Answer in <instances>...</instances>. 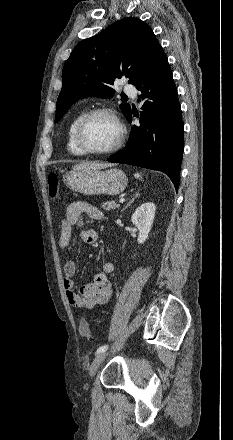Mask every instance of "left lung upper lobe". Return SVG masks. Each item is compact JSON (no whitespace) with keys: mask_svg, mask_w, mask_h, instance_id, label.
<instances>
[{"mask_svg":"<svg viewBox=\"0 0 233 440\" xmlns=\"http://www.w3.org/2000/svg\"><path fill=\"white\" fill-rule=\"evenodd\" d=\"M162 51L152 29L142 20L131 17L80 42L63 68V85L54 122L81 98L112 97L114 89L110 85L117 78L125 76L128 83L136 85ZM120 108L126 117L131 112L129 104L122 103Z\"/></svg>","mask_w":233,"mask_h":440,"instance_id":"obj_1","label":"left lung upper lobe"}]
</instances>
